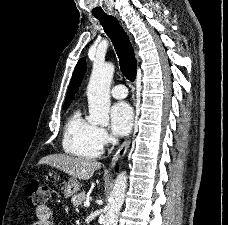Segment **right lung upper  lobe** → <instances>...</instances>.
I'll return each instance as SVG.
<instances>
[{
  "instance_id": "right-lung-upper-lobe-1",
  "label": "right lung upper lobe",
  "mask_w": 228,
  "mask_h": 225,
  "mask_svg": "<svg viewBox=\"0 0 228 225\" xmlns=\"http://www.w3.org/2000/svg\"><path fill=\"white\" fill-rule=\"evenodd\" d=\"M85 71H86V61H85V58H81L75 67V71L73 73V77L67 92L65 105H69L72 102L73 97L81 84V80L83 79V75Z\"/></svg>"
}]
</instances>
